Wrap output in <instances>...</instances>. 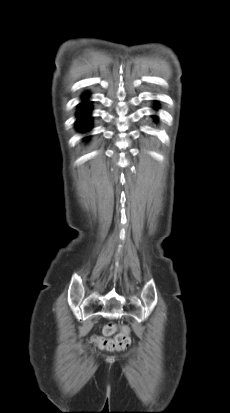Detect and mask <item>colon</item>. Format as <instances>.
<instances>
[{
	"label": "colon",
	"mask_w": 230,
	"mask_h": 413,
	"mask_svg": "<svg viewBox=\"0 0 230 413\" xmlns=\"http://www.w3.org/2000/svg\"><path fill=\"white\" fill-rule=\"evenodd\" d=\"M116 333V325L108 323L103 327V335L95 339L99 348L108 351H122L127 349L131 344V338L128 328H123L113 338H110Z\"/></svg>",
	"instance_id": "1"
}]
</instances>
